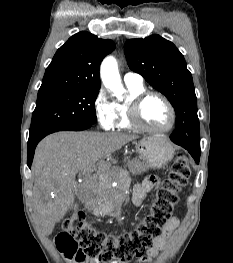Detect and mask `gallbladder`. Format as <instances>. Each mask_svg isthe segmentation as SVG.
<instances>
[{
  "label": "gallbladder",
  "mask_w": 233,
  "mask_h": 263,
  "mask_svg": "<svg viewBox=\"0 0 233 263\" xmlns=\"http://www.w3.org/2000/svg\"><path fill=\"white\" fill-rule=\"evenodd\" d=\"M79 192H80V188L77 187V195L79 194ZM77 207H78V203L76 202L73 204L72 209H76Z\"/></svg>",
  "instance_id": "obj_1"
}]
</instances>
